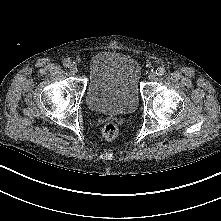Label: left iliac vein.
<instances>
[{
  "label": "left iliac vein",
  "mask_w": 221,
  "mask_h": 221,
  "mask_svg": "<svg viewBox=\"0 0 221 221\" xmlns=\"http://www.w3.org/2000/svg\"><path fill=\"white\" fill-rule=\"evenodd\" d=\"M148 77L150 80H155L157 77V74H156V72L152 71L149 73Z\"/></svg>",
  "instance_id": "left-iliac-vein-1"
}]
</instances>
